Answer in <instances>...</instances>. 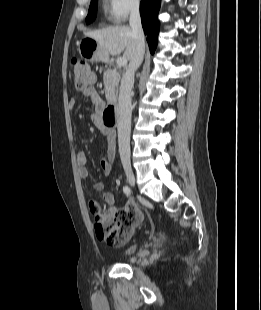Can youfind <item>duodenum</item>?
Here are the masks:
<instances>
[{
	"instance_id": "410a0bca",
	"label": "duodenum",
	"mask_w": 261,
	"mask_h": 310,
	"mask_svg": "<svg viewBox=\"0 0 261 310\" xmlns=\"http://www.w3.org/2000/svg\"><path fill=\"white\" fill-rule=\"evenodd\" d=\"M102 122L106 127L113 128L117 124V107L114 103L108 104L102 112Z\"/></svg>"
}]
</instances>
